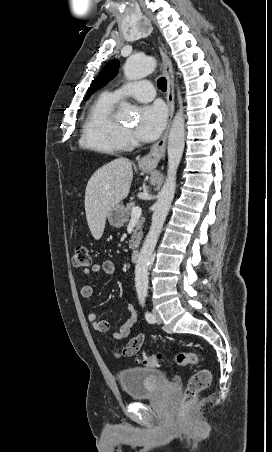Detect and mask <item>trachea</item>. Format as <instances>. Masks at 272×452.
Wrapping results in <instances>:
<instances>
[{"mask_svg":"<svg viewBox=\"0 0 272 452\" xmlns=\"http://www.w3.org/2000/svg\"><path fill=\"white\" fill-rule=\"evenodd\" d=\"M157 85H158V88H159L161 91H163V92L166 91V89H167V81H166V79H165L164 77H161V78L158 80Z\"/></svg>","mask_w":272,"mask_h":452,"instance_id":"3493384b","label":"trachea"}]
</instances>
